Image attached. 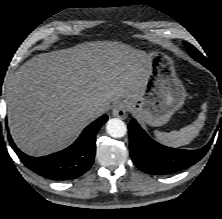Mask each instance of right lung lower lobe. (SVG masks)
Masks as SVG:
<instances>
[{
  "label": "right lung lower lobe",
  "mask_w": 222,
  "mask_h": 219,
  "mask_svg": "<svg viewBox=\"0 0 222 219\" xmlns=\"http://www.w3.org/2000/svg\"><path fill=\"white\" fill-rule=\"evenodd\" d=\"M107 120V115H103L87 126L71 146L44 157L28 156L16 147L9 133L8 139L24 165L38 175L53 180L75 179L91 167L96 152L97 131Z\"/></svg>",
  "instance_id": "obj_1"
}]
</instances>
